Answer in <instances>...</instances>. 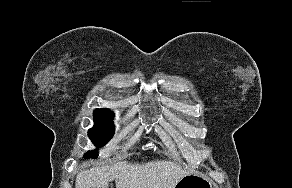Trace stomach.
Instances as JSON below:
<instances>
[{
    "instance_id": "stomach-1",
    "label": "stomach",
    "mask_w": 292,
    "mask_h": 188,
    "mask_svg": "<svg viewBox=\"0 0 292 188\" xmlns=\"http://www.w3.org/2000/svg\"><path fill=\"white\" fill-rule=\"evenodd\" d=\"M174 188H213V183L204 175L188 174L182 177Z\"/></svg>"
}]
</instances>
